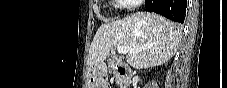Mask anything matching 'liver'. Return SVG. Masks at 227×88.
Here are the masks:
<instances>
[{
  "instance_id": "liver-1",
  "label": "liver",
  "mask_w": 227,
  "mask_h": 88,
  "mask_svg": "<svg viewBox=\"0 0 227 88\" xmlns=\"http://www.w3.org/2000/svg\"><path fill=\"white\" fill-rule=\"evenodd\" d=\"M182 31L168 19L146 12L133 13L124 19L102 24L91 43L90 66L102 65L117 46L127 47V62L136 69L156 67L176 53Z\"/></svg>"
}]
</instances>
